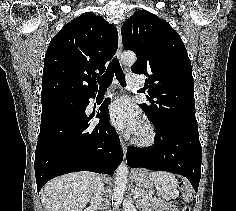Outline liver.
Returning <instances> with one entry per match:
<instances>
[{
	"mask_svg": "<svg viewBox=\"0 0 236 211\" xmlns=\"http://www.w3.org/2000/svg\"><path fill=\"white\" fill-rule=\"evenodd\" d=\"M98 175L74 172L49 181L41 190L44 211H82L89 202Z\"/></svg>",
	"mask_w": 236,
	"mask_h": 211,
	"instance_id": "liver-1",
	"label": "liver"
}]
</instances>
